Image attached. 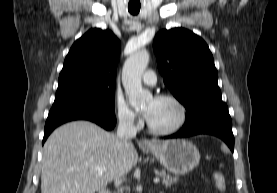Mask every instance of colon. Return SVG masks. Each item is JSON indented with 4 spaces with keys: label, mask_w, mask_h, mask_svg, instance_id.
Returning <instances> with one entry per match:
<instances>
[{
    "label": "colon",
    "mask_w": 277,
    "mask_h": 193,
    "mask_svg": "<svg viewBox=\"0 0 277 193\" xmlns=\"http://www.w3.org/2000/svg\"><path fill=\"white\" fill-rule=\"evenodd\" d=\"M213 181L216 189L220 192H224L226 190V178L223 173L221 172H214Z\"/></svg>",
    "instance_id": "5ec220e1"
}]
</instances>
